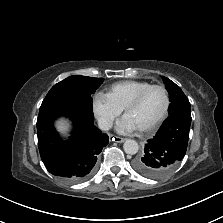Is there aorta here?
Segmentation results:
<instances>
[{
    "instance_id": "aorta-1",
    "label": "aorta",
    "mask_w": 223,
    "mask_h": 223,
    "mask_svg": "<svg viewBox=\"0 0 223 223\" xmlns=\"http://www.w3.org/2000/svg\"><path fill=\"white\" fill-rule=\"evenodd\" d=\"M123 149L126 154L134 155L139 150V145L135 140L127 139L123 144Z\"/></svg>"
}]
</instances>
